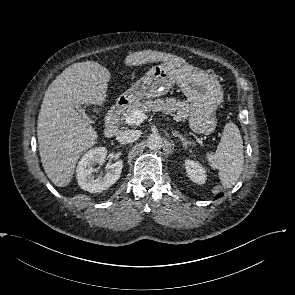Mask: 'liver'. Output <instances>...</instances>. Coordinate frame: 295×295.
<instances>
[{
	"mask_svg": "<svg viewBox=\"0 0 295 295\" xmlns=\"http://www.w3.org/2000/svg\"><path fill=\"white\" fill-rule=\"evenodd\" d=\"M157 61L187 64L181 57L153 50L135 52L125 58L127 66ZM110 78V72L98 62L74 63L58 75L45 92L37 138L42 166L57 187L70 183L78 159L98 138L77 108L80 104L102 105Z\"/></svg>",
	"mask_w": 295,
	"mask_h": 295,
	"instance_id": "6515ba94",
	"label": "liver"
}]
</instances>
